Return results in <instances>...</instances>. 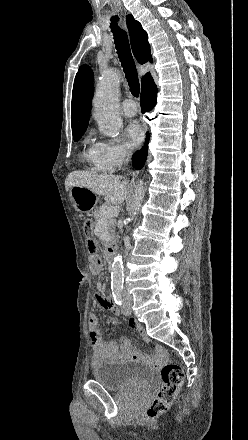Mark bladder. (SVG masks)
<instances>
[{
  "instance_id": "31cf9c89",
  "label": "bladder",
  "mask_w": 248,
  "mask_h": 440,
  "mask_svg": "<svg viewBox=\"0 0 248 440\" xmlns=\"http://www.w3.org/2000/svg\"><path fill=\"white\" fill-rule=\"evenodd\" d=\"M154 376L151 367L133 359L108 361L93 371L94 380L110 391H146Z\"/></svg>"
}]
</instances>
